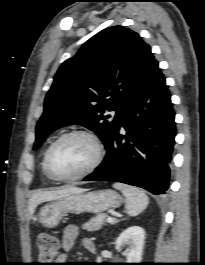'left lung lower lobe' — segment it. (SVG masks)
Instances as JSON below:
<instances>
[{"label": "left lung lower lobe", "mask_w": 205, "mask_h": 265, "mask_svg": "<svg viewBox=\"0 0 205 265\" xmlns=\"http://www.w3.org/2000/svg\"><path fill=\"white\" fill-rule=\"evenodd\" d=\"M174 116L170 93L157 63L121 110L104 161L84 180L117 181L153 194H166L176 136ZM121 126L124 135L119 132Z\"/></svg>", "instance_id": "left-lung-lower-lobe-1"}]
</instances>
